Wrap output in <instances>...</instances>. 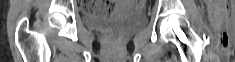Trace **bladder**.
<instances>
[{
	"label": "bladder",
	"instance_id": "1",
	"mask_svg": "<svg viewBox=\"0 0 235 62\" xmlns=\"http://www.w3.org/2000/svg\"><path fill=\"white\" fill-rule=\"evenodd\" d=\"M84 21L86 25L96 30L117 27L130 32L145 26L147 18L144 12L132 2L122 1L110 14L93 15L87 13Z\"/></svg>",
	"mask_w": 235,
	"mask_h": 62
}]
</instances>
